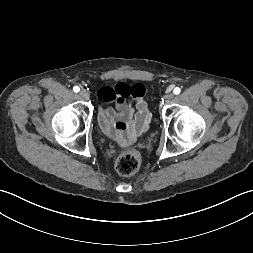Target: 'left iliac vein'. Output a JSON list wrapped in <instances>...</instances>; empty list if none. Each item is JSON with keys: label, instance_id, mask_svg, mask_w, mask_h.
Listing matches in <instances>:
<instances>
[{"label": "left iliac vein", "instance_id": "1", "mask_svg": "<svg viewBox=\"0 0 253 253\" xmlns=\"http://www.w3.org/2000/svg\"><path fill=\"white\" fill-rule=\"evenodd\" d=\"M174 99V95L172 93H168L164 96V102L169 104Z\"/></svg>", "mask_w": 253, "mask_h": 253}]
</instances>
